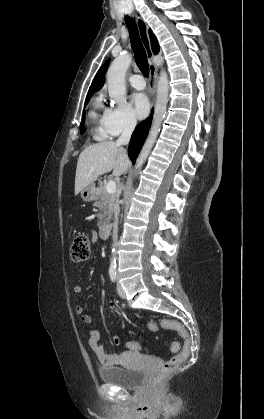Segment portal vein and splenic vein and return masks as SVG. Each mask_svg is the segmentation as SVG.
Masks as SVG:
<instances>
[{
  "label": "portal vein and splenic vein",
  "mask_w": 264,
  "mask_h": 419,
  "mask_svg": "<svg viewBox=\"0 0 264 419\" xmlns=\"http://www.w3.org/2000/svg\"><path fill=\"white\" fill-rule=\"evenodd\" d=\"M106 191L110 194L115 193L116 192V183L113 180L108 181V183L106 184Z\"/></svg>",
  "instance_id": "1"
}]
</instances>
